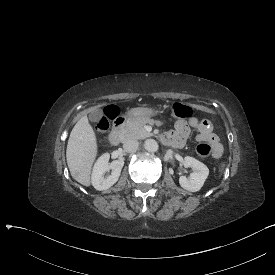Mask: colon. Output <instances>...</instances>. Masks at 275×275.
Returning <instances> with one entry per match:
<instances>
[{
    "mask_svg": "<svg viewBox=\"0 0 275 275\" xmlns=\"http://www.w3.org/2000/svg\"><path fill=\"white\" fill-rule=\"evenodd\" d=\"M168 112L172 118H190L194 111L190 106L184 105L180 102L172 103L168 106ZM119 114L117 107H108L105 110L102 120L97 124V133L102 136L106 130L109 120L115 119ZM197 154L202 158H207L211 153V146L206 142H201L196 146Z\"/></svg>",
    "mask_w": 275,
    "mask_h": 275,
    "instance_id": "1",
    "label": "colon"
}]
</instances>
